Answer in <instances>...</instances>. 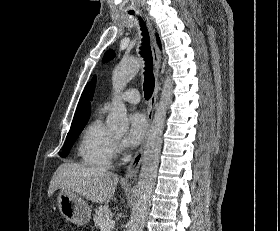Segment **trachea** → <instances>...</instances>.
I'll return each instance as SVG.
<instances>
[{
	"label": "trachea",
	"mask_w": 280,
	"mask_h": 231,
	"mask_svg": "<svg viewBox=\"0 0 280 231\" xmlns=\"http://www.w3.org/2000/svg\"><path fill=\"white\" fill-rule=\"evenodd\" d=\"M130 15H133L134 12H129ZM140 25L143 35V42L142 46L140 47L141 55L145 60V72H144V83H143V90L144 96L146 100L152 96L155 86V80L153 75V66H152V53L149 45V35L146 25L144 24L143 20L140 18Z\"/></svg>",
	"instance_id": "obj_1"
}]
</instances>
